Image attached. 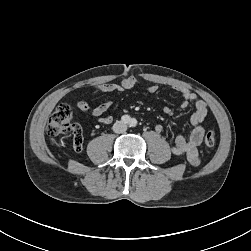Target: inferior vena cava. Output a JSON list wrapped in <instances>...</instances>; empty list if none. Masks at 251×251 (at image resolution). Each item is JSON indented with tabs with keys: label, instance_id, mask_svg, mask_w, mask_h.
<instances>
[{
	"label": "inferior vena cava",
	"instance_id": "1",
	"mask_svg": "<svg viewBox=\"0 0 251 251\" xmlns=\"http://www.w3.org/2000/svg\"><path fill=\"white\" fill-rule=\"evenodd\" d=\"M127 130V125L122 121H116L113 125V131L115 133H124Z\"/></svg>",
	"mask_w": 251,
	"mask_h": 251
}]
</instances>
